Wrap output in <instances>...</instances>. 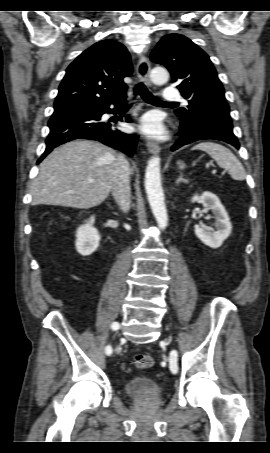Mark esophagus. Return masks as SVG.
<instances>
[{"label":"esophagus","instance_id":"esophagus-1","mask_svg":"<svg viewBox=\"0 0 270 453\" xmlns=\"http://www.w3.org/2000/svg\"><path fill=\"white\" fill-rule=\"evenodd\" d=\"M150 68L151 67L148 58L145 56H141L137 64V76L141 82H144L148 86L151 85L149 79ZM147 149L150 153L153 154L160 152V146L154 141L147 142Z\"/></svg>","mask_w":270,"mask_h":453}]
</instances>
